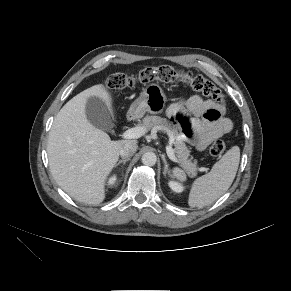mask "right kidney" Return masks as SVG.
Returning <instances> with one entry per match:
<instances>
[{
  "label": "right kidney",
  "instance_id": "ca27d5eb",
  "mask_svg": "<svg viewBox=\"0 0 291 291\" xmlns=\"http://www.w3.org/2000/svg\"><path fill=\"white\" fill-rule=\"evenodd\" d=\"M115 181H116V177L115 176H113V177H111L110 179H109V184H114L115 183Z\"/></svg>",
  "mask_w": 291,
  "mask_h": 291
}]
</instances>
